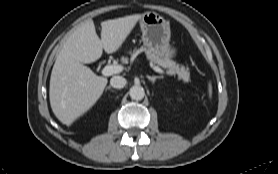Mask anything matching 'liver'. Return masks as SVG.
<instances>
[{"mask_svg": "<svg viewBox=\"0 0 278 174\" xmlns=\"http://www.w3.org/2000/svg\"><path fill=\"white\" fill-rule=\"evenodd\" d=\"M141 18L135 14L103 21L101 39L89 19L67 38L50 77V105L59 121L70 126L100 98L108 80L83 64L97 61L103 49L108 54L117 51Z\"/></svg>", "mask_w": 278, "mask_h": 174, "instance_id": "liver-1", "label": "liver"}]
</instances>
